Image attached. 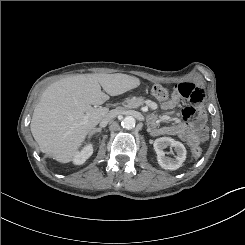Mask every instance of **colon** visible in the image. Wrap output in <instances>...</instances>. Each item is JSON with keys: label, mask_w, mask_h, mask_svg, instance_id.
Listing matches in <instances>:
<instances>
[{"label": "colon", "mask_w": 245, "mask_h": 245, "mask_svg": "<svg viewBox=\"0 0 245 245\" xmlns=\"http://www.w3.org/2000/svg\"><path fill=\"white\" fill-rule=\"evenodd\" d=\"M151 93L160 101L168 100L170 96V91H167L164 88V85H153L151 87ZM202 154V149L198 146H195L191 149V156L195 159H198Z\"/></svg>", "instance_id": "5ec220e1"}]
</instances>
